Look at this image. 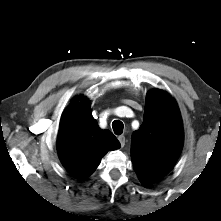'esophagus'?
I'll return each instance as SVG.
<instances>
[{
  "label": "esophagus",
  "instance_id": "1",
  "mask_svg": "<svg viewBox=\"0 0 221 221\" xmlns=\"http://www.w3.org/2000/svg\"><path fill=\"white\" fill-rule=\"evenodd\" d=\"M118 140H119V142H120V144H121V147H124L125 142H126L125 136H119V137H118Z\"/></svg>",
  "mask_w": 221,
  "mask_h": 221
}]
</instances>
